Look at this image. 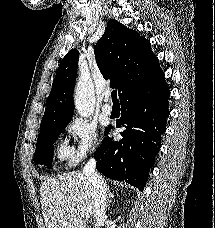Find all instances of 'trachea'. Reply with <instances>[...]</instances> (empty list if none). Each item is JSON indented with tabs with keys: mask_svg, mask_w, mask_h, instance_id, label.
Instances as JSON below:
<instances>
[{
	"mask_svg": "<svg viewBox=\"0 0 215 228\" xmlns=\"http://www.w3.org/2000/svg\"><path fill=\"white\" fill-rule=\"evenodd\" d=\"M111 97H112L114 104L119 103V101L117 100V90L112 91Z\"/></svg>",
	"mask_w": 215,
	"mask_h": 228,
	"instance_id": "3493384b",
	"label": "trachea"
}]
</instances>
